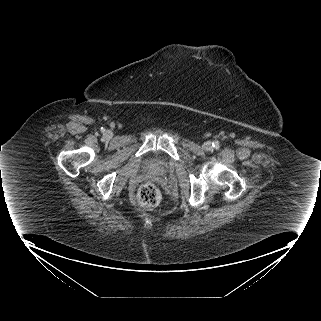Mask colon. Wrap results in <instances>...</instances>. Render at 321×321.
Returning <instances> with one entry per match:
<instances>
[{
    "label": "colon",
    "mask_w": 321,
    "mask_h": 321,
    "mask_svg": "<svg viewBox=\"0 0 321 321\" xmlns=\"http://www.w3.org/2000/svg\"><path fill=\"white\" fill-rule=\"evenodd\" d=\"M161 199L158 187L152 183L142 184L137 191V201L145 209L155 208Z\"/></svg>",
    "instance_id": "colon-1"
}]
</instances>
